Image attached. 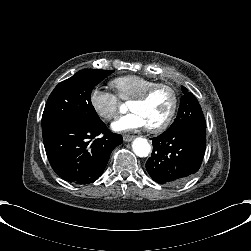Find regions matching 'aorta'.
Returning a JSON list of instances; mask_svg holds the SVG:
<instances>
[{"instance_id": "762f6f07", "label": "aorta", "mask_w": 251, "mask_h": 251, "mask_svg": "<svg viewBox=\"0 0 251 251\" xmlns=\"http://www.w3.org/2000/svg\"><path fill=\"white\" fill-rule=\"evenodd\" d=\"M132 150L139 157H146L151 150L148 140L142 137H136L132 141Z\"/></svg>"}]
</instances>
